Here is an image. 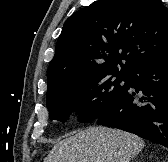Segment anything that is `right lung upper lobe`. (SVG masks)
<instances>
[{"label":"right lung upper lobe","mask_w":168,"mask_h":162,"mask_svg":"<svg viewBox=\"0 0 168 162\" xmlns=\"http://www.w3.org/2000/svg\"><path fill=\"white\" fill-rule=\"evenodd\" d=\"M166 55L168 9L161 0H99L66 20L47 70L48 88L92 73L129 74Z\"/></svg>","instance_id":"obj_1"}]
</instances>
